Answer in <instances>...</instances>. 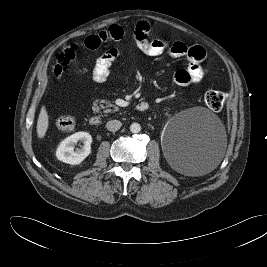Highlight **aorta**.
<instances>
[{
	"label": "aorta",
	"mask_w": 267,
	"mask_h": 267,
	"mask_svg": "<svg viewBox=\"0 0 267 267\" xmlns=\"http://www.w3.org/2000/svg\"><path fill=\"white\" fill-rule=\"evenodd\" d=\"M140 130H141V126H140V124H138V123H132V124H131V126H130V131H131L132 133H139Z\"/></svg>",
	"instance_id": "obj_1"
}]
</instances>
